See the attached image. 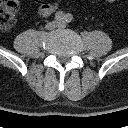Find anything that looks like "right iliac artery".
Masks as SVG:
<instances>
[{"label": "right iliac artery", "mask_w": 128, "mask_h": 128, "mask_svg": "<svg viewBox=\"0 0 128 128\" xmlns=\"http://www.w3.org/2000/svg\"><path fill=\"white\" fill-rule=\"evenodd\" d=\"M65 13H63L62 11H58L56 14H55V19L56 20H63L65 19Z\"/></svg>", "instance_id": "1"}]
</instances>
